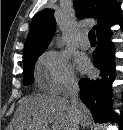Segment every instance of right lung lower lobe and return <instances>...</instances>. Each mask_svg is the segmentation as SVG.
Here are the masks:
<instances>
[{"mask_svg": "<svg viewBox=\"0 0 123 130\" xmlns=\"http://www.w3.org/2000/svg\"><path fill=\"white\" fill-rule=\"evenodd\" d=\"M123 30V21L120 23ZM111 31L107 29L97 35L98 47L93 53L94 66L100 69L98 78H83L79 82L81 101L90 109L98 123L114 120L111 112L112 82L115 77V48L111 42ZM123 129V116L116 121Z\"/></svg>", "mask_w": 123, "mask_h": 130, "instance_id": "98d812e1", "label": "right lung lower lobe"}]
</instances>
